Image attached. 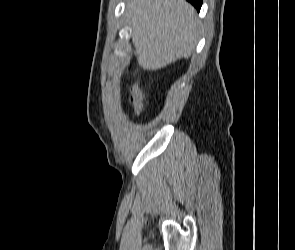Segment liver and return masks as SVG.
Segmentation results:
<instances>
[{
  "mask_svg": "<svg viewBox=\"0 0 295 250\" xmlns=\"http://www.w3.org/2000/svg\"><path fill=\"white\" fill-rule=\"evenodd\" d=\"M126 15L143 69L155 71L194 52L199 21L185 0H128Z\"/></svg>",
  "mask_w": 295,
  "mask_h": 250,
  "instance_id": "liver-1",
  "label": "liver"
}]
</instances>
